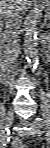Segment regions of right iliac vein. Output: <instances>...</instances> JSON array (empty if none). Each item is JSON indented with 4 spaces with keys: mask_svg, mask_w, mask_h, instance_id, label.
I'll return each instance as SVG.
<instances>
[{
    "mask_svg": "<svg viewBox=\"0 0 50 148\" xmlns=\"http://www.w3.org/2000/svg\"><path fill=\"white\" fill-rule=\"evenodd\" d=\"M13 112L9 111L5 117V126L2 128L1 133H0V137H1V141L5 140V130L12 124L13 122Z\"/></svg>",
    "mask_w": 50,
    "mask_h": 148,
    "instance_id": "1",
    "label": "right iliac vein"
}]
</instances>
